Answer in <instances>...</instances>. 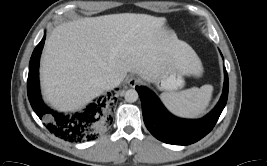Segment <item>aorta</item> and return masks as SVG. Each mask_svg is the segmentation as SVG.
<instances>
[{
  "label": "aorta",
  "instance_id": "aorta-1",
  "mask_svg": "<svg viewBox=\"0 0 267 166\" xmlns=\"http://www.w3.org/2000/svg\"><path fill=\"white\" fill-rule=\"evenodd\" d=\"M138 92L135 89H129L125 92V100L129 103H133L138 100Z\"/></svg>",
  "mask_w": 267,
  "mask_h": 166
}]
</instances>
